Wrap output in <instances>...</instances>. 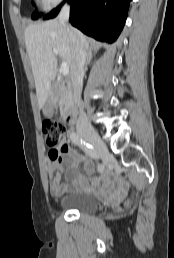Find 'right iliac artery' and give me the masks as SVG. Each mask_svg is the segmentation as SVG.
Instances as JSON below:
<instances>
[{
    "label": "right iliac artery",
    "mask_w": 174,
    "mask_h": 258,
    "mask_svg": "<svg viewBox=\"0 0 174 258\" xmlns=\"http://www.w3.org/2000/svg\"><path fill=\"white\" fill-rule=\"evenodd\" d=\"M70 139L72 140V142L74 144L78 145L91 158H94V159H98L99 158V154L92 147V145H89L88 143L83 141L82 138L77 133L72 132L70 134ZM98 171L100 173H102L104 171V165L103 164H99L98 165Z\"/></svg>",
    "instance_id": "1"
}]
</instances>
